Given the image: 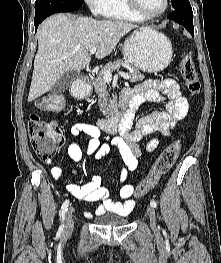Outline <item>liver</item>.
<instances>
[{
  "label": "liver",
  "mask_w": 221,
  "mask_h": 263,
  "mask_svg": "<svg viewBox=\"0 0 221 263\" xmlns=\"http://www.w3.org/2000/svg\"><path fill=\"white\" fill-rule=\"evenodd\" d=\"M135 28L137 25L123 21L74 18L65 14L51 16L37 32L38 51L28 101L50 91L65 73L80 71L89 65L92 47H97V59H103ZM139 30L150 31L151 28Z\"/></svg>",
  "instance_id": "6515ba94"
}]
</instances>
